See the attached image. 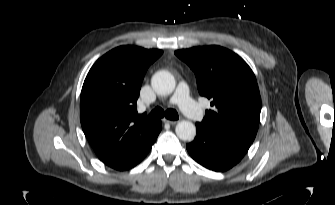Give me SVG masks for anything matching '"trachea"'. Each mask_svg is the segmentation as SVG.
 <instances>
[{
	"label": "trachea",
	"instance_id": "3493384b",
	"mask_svg": "<svg viewBox=\"0 0 335 205\" xmlns=\"http://www.w3.org/2000/svg\"><path fill=\"white\" fill-rule=\"evenodd\" d=\"M151 117H157V118H162L166 117L169 120H178L179 116L176 110L174 109H168L164 111L160 107H156L154 110H152L149 114Z\"/></svg>",
	"mask_w": 335,
	"mask_h": 205
}]
</instances>
